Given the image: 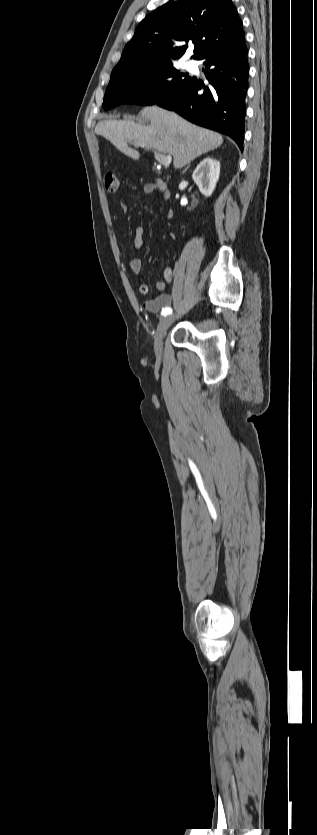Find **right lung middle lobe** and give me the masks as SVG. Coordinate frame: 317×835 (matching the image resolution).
<instances>
[{
    "mask_svg": "<svg viewBox=\"0 0 317 835\" xmlns=\"http://www.w3.org/2000/svg\"><path fill=\"white\" fill-rule=\"evenodd\" d=\"M190 80L191 77L180 73L170 64L142 71L113 70L103 107L108 110L122 103L153 105Z\"/></svg>",
    "mask_w": 317,
    "mask_h": 835,
    "instance_id": "obj_1",
    "label": "right lung middle lobe"
}]
</instances>
